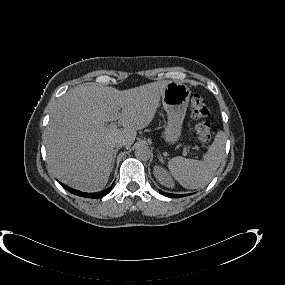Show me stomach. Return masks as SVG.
<instances>
[{
    "label": "stomach",
    "instance_id": "stomach-1",
    "mask_svg": "<svg viewBox=\"0 0 285 285\" xmlns=\"http://www.w3.org/2000/svg\"><path fill=\"white\" fill-rule=\"evenodd\" d=\"M167 123L163 139L168 144H175L182 134V125L190 99L188 86L181 82L170 81L161 96Z\"/></svg>",
    "mask_w": 285,
    "mask_h": 285
}]
</instances>
